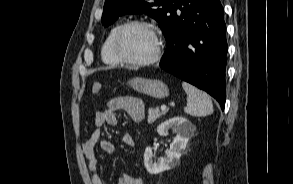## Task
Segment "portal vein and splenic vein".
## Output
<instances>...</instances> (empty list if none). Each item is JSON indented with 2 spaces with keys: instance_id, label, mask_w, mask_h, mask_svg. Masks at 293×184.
Masks as SVG:
<instances>
[{
  "instance_id": "18ae733b",
  "label": "portal vein and splenic vein",
  "mask_w": 293,
  "mask_h": 184,
  "mask_svg": "<svg viewBox=\"0 0 293 184\" xmlns=\"http://www.w3.org/2000/svg\"><path fill=\"white\" fill-rule=\"evenodd\" d=\"M161 110H162V111H166V106H165V105H162V106H161Z\"/></svg>"
}]
</instances>
